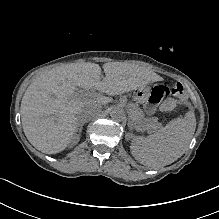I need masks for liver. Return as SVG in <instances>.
Returning a JSON list of instances; mask_svg holds the SVG:
<instances>
[{"label": "liver", "mask_w": 219, "mask_h": 219, "mask_svg": "<svg viewBox=\"0 0 219 219\" xmlns=\"http://www.w3.org/2000/svg\"><path fill=\"white\" fill-rule=\"evenodd\" d=\"M66 64L39 74L28 86L21 101L22 127L28 141L46 154L63 150L72 139L82 112L94 117L104 98L91 92L75 97L76 87L85 93L94 89L121 94L151 81L150 72L138 65L106 63ZM85 115V114H83Z\"/></svg>", "instance_id": "liver-1"}]
</instances>
